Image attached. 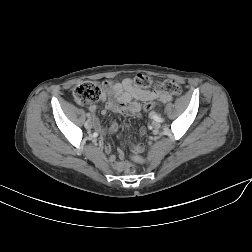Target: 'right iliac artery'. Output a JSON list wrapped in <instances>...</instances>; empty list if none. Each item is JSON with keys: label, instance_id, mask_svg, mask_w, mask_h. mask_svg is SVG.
<instances>
[{"label": "right iliac artery", "instance_id": "right-iliac-artery-1", "mask_svg": "<svg viewBox=\"0 0 252 252\" xmlns=\"http://www.w3.org/2000/svg\"><path fill=\"white\" fill-rule=\"evenodd\" d=\"M93 137L94 138H99L100 137V132L99 131H94L93 132Z\"/></svg>", "mask_w": 252, "mask_h": 252}]
</instances>
